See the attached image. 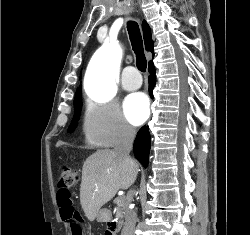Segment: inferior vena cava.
Here are the masks:
<instances>
[{
	"mask_svg": "<svg viewBox=\"0 0 250 235\" xmlns=\"http://www.w3.org/2000/svg\"><path fill=\"white\" fill-rule=\"evenodd\" d=\"M135 138V130L128 124L122 123L119 138L114 148V152L125 162L131 163L130 151L132 149L133 141ZM133 192H129L132 196ZM125 223L121 235H134L135 224L137 221V214L128 206L124 210Z\"/></svg>",
	"mask_w": 250,
	"mask_h": 235,
	"instance_id": "inferior-vena-cava-1",
	"label": "inferior vena cava"
}]
</instances>
